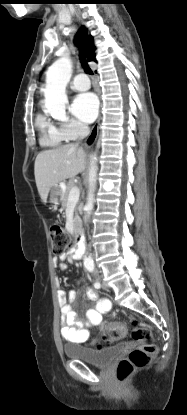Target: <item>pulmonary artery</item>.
Returning a JSON list of instances; mask_svg holds the SVG:
<instances>
[{"instance_id":"obj_1","label":"pulmonary artery","mask_w":187,"mask_h":415,"mask_svg":"<svg viewBox=\"0 0 187 415\" xmlns=\"http://www.w3.org/2000/svg\"><path fill=\"white\" fill-rule=\"evenodd\" d=\"M70 87L76 91H85L90 88V81L85 74H78L72 79Z\"/></svg>"}]
</instances>
